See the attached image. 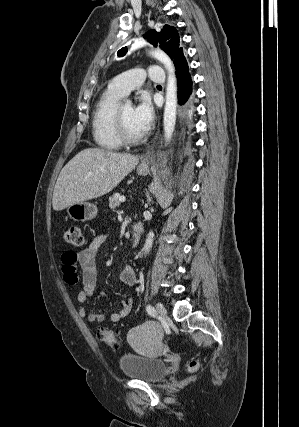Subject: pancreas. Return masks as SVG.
<instances>
[{
  "label": "pancreas",
  "mask_w": 299,
  "mask_h": 427,
  "mask_svg": "<svg viewBox=\"0 0 299 427\" xmlns=\"http://www.w3.org/2000/svg\"><path fill=\"white\" fill-rule=\"evenodd\" d=\"M120 195L119 194H113L110 198H109V208L111 210H115L119 205H120Z\"/></svg>",
  "instance_id": "1"
}]
</instances>
